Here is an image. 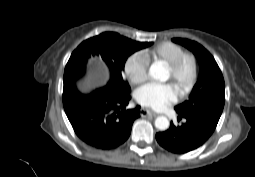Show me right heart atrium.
<instances>
[{"label": "right heart atrium", "mask_w": 255, "mask_h": 177, "mask_svg": "<svg viewBox=\"0 0 255 177\" xmlns=\"http://www.w3.org/2000/svg\"><path fill=\"white\" fill-rule=\"evenodd\" d=\"M149 60L145 54L136 52L131 54L125 61L124 71L128 79L139 84L147 78Z\"/></svg>", "instance_id": "right-heart-atrium-1"}]
</instances>
